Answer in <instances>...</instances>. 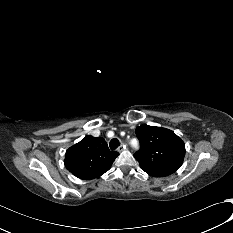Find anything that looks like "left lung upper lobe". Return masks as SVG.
I'll use <instances>...</instances> for the list:
<instances>
[{
  "label": "left lung upper lobe",
  "mask_w": 233,
  "mask_h": 233,
  "mask_svg": "<svg viewBox=\"0 0 233 233\" xmlns=\"http://www.w3.org/2000/svg\"><path fill=\"white\" fill-rule=\"evenodd\" d=\"M140 149L134 154L143 171L153 177H165L177 171L184 160L185 145L174 132L142 125L136 128Z\"/></svg>",
  "instance_id": "5c2ea615"
}]
</instances>
